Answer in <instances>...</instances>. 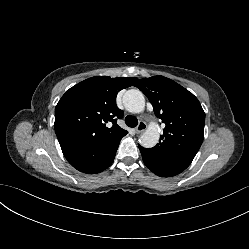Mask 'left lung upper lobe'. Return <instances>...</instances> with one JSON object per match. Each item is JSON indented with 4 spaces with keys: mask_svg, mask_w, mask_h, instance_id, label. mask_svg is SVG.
Returning <instances> with one entry per match:
<instances>
[{
    "mask_svg": "<svg viewBox=\"0 0 249 249\" xmlns=\"http://www.w3.org/2000/svg\"><path fill=\"white\" fill-rule=\"evenodd\" d=\"M134 86L147 96L155 115L165 124L159 143L147 151L192 162L204 133L205 113L198 99L164 76L136 80Z\"/></svg>",
    "mask_w": 249,
    "mask_h": 249,
    "instance_id": "5c2ea615",
    "label": "left lung upper lobe"
}]
</instances>
